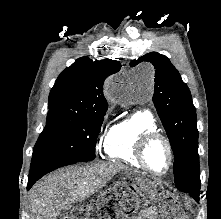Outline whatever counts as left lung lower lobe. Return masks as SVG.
I'll use <instances>...</instances> for the list:
<instances>
[{
    "label": "left lung lower lobe",
    "instance_id": "1",
    "mask_svg": "<svg viewBox=\"0 0 221 219\" xmlns=\"http://www.w3.org/2000/svg\"><path fill=\"white\" fill-rule=\"evenodd\" d=\"M197 202H199V194L200 192L197 193H189Z\"/></svg>",
    "mask_w": 221,
    "mask_h": 219
}]
</instances>
